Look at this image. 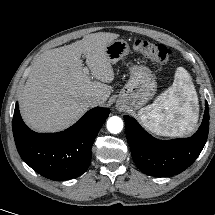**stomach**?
<instances>
[{
  "mask_svg": "<svg viewBox=\"0 0 215 215\" xmlns=\"http://www.w3.org/2000/svg\"><path fill=\"white\" fill-rule=\"evenodd\" d=\"M129 52V44L123 39L114 40L105 48V53L112 64L127 56ZM129 70L130 78L119 94L117 106H126L137 110L152 99L156 92L157 84L148 67L132 65Z\"/></svg>",
  "mask_w": 215,
  "mask_h": 215,
  "instance_id": "0dacf381",
  "label": "stomach"
}]
</instances>
